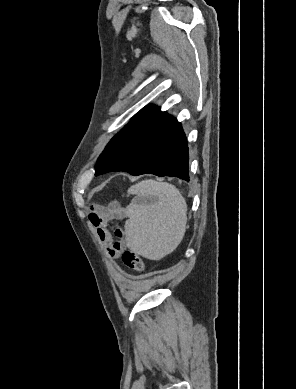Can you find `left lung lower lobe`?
I'll list each match as a JSON object with an SVG mask.
<instances>
[{
	"instance_id": "obj_1",
	"label": "left lung lower lobe",
	"mask_w": 296,
	"mask_h": 389,
	"mask_svg": "<svg viewBox=\"0 0 296 389\" xmlns=\"http://www.w3.org/2000/svg\"><path fill=\"white\" fill-rule=\"evenodd\" d=\"M188 150L177 119L151 105L111 139L99 157L96 175L126 171L135 176L154 174L189 182Z\"/></svg>"
}]
</instances>
